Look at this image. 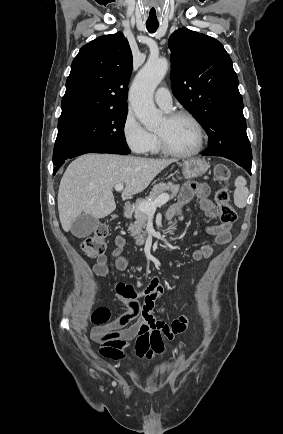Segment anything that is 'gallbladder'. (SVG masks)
<instances>
[{
    "label": "gallbladder",
    "mask_w": 283,
    "mask_h": 434,
    "mask_svg": "<svg viewBox=\"0 0 283 434\" xmlns=\"http://www.w3.org/2000/svg\"><path fill=\"white\" fill-rule=\"evenodd\" d=\"M99 220L89 214H81L73 222L71 233L78 238H84L97 230Z\"/></svg>",
    "instance_id": "1"
}]
</instances>
